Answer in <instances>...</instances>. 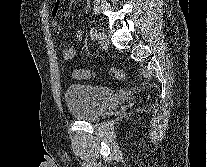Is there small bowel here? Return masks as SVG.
I'll use <instances>...</instances> for the list:
<instances>
[{"instance_id":"obj_1","label":"small bowel","mask_w":207,"mask_h":167,"mask_svg":"<svg viewBox=\"0 0 207 167\" xmlns=\"http://www.w3.org/2000/svg\"><path fill=\"white\" fill-rule=\"evenodd\" d=\"M60 1L61 0H56L55 6L52 11V15L54 18L53 28H54L55 32L58 34L62 32V26L56 20L58 13H59V10H60ZM76 37L78 40H82L83 39V31L82 30L77 31ZM77 54H78V48L75 46L64 47L62 49V57L66 61L73 59Z\"/></svg>"}]
</instances>
